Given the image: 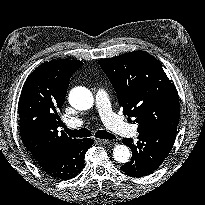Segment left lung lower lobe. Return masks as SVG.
Instances as JSON below:
<instances>
[{
    "mask_svg": "<svg viewBox=\"0 0 205 205\" xmlns=\"http://www.w3.org/2000/svg\"><path fill=\"white\" fill-rule=\"evenodd\" d=\"M177 128H163L139 133L138 142L124 138L130 147L132 158L121 166L123 172L132 177H143L153 173L169 154L175 140Z\"/></svg>",
    "mask_w": 205,
    "mask_h": 205,
    "instance_id": "1",
    "label": "left lung lower lobe"
}]
</instances>
